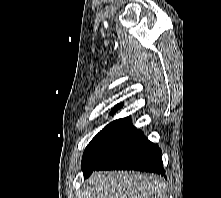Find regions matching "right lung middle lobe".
Returning <instances> with one entry per match:
<instances>
[{
	"label": "right lung middle lobe",
	"mask_w": 221,
	"mask_h": 198,
	"mask_svg": "<svg viewBox=\"0 0 221 198\" xmlns=\"http://www.w3.org/2000/svg\"><path fill=\"white\" fill-rule=\"evenodd\" d=\"M137 130L129 122H112L103 128L86 147L82 170L84 174L94 170L135 138Z\"/></svg>",
	"instance_id": "obj_1"
}]
</instances>
